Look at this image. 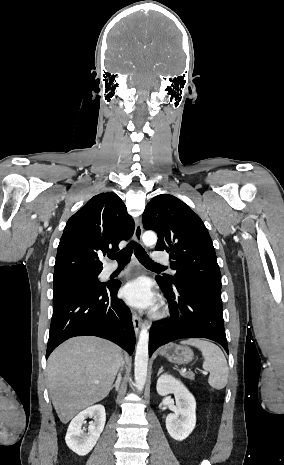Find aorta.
<instances>
[{"label": "aorta", "instance_id": "1", "mask_svg": "<svg viewBox=\"0 0 284 465\" xmlns=\"http://www.w3.org/2000/svg\"><path fill=\"white\" fill-rule=\"evenodd\" d=\"M142 241L144 245L152 246L156 244L157 236L154 232L148 231L143 234ZM148 345L149 332L146 327H143L139 334L135 355V382L138 391H142L146 383L148 367Z\"/></svg>", "mask_w": 284, "mask_h": 465}]
</instances>
